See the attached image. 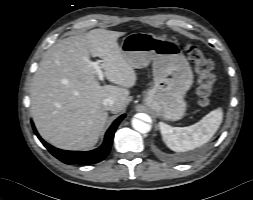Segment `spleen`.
Here are the masks:
<instances>
[{"instance_id": "1", "label": "spleen", "mask_w": 253, "mask_h": 200, "mask_svg": "<svg viewBox=\"0 0 253 200\" xmlns=\"http://www.w3.org/2000/svg\"><path fill=\"white\" fill-rule=\"evenodd\" d=\"M222 120V108H217L191 126L172 127L160 122L159 127L164 143L171 150L185 152L206 144L217 132Z\"/></svg>"}]
</instances>
